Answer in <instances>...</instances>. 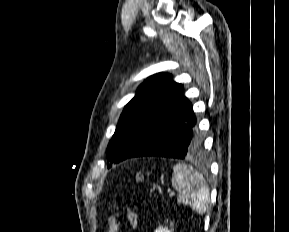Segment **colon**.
Masks as SVG:
<instances>
[{
	"mask_svg": "<svg viewBox=\"0 0 289 232\" xmlns=\"http://www.w3.org/2000/svg\"><path fill=\"white\" fill-rule=\"evenodd\" d=\"M125 210L131 226L136 228L138 226V215L136 210L128 205L125 206ZM108 232H119V220L114 214L108 216Z\"/></svg>",
	"mask_w": 289,
	"mask_h": 232,
	"instance_id": "obj_1",
	"label": "colon"
}]
</instances>
